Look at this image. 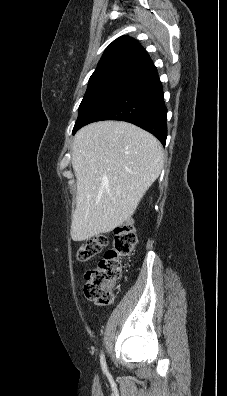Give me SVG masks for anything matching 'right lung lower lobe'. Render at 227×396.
Returning a JSON list of instances; mask_svg holds the SVG:
<instances>
[{"label":"right lung lower lobe","mask_w":227,"mask_h":396,"mask_svg":"<svg viewBox=\"0 0 227 396\" xmlns=\"http://www.w3.org/2000/svg\"><path fill=\"white\" fill-rule=\"evenodd\" d=\"M166 116L162 84L156 67L149 61L94 107L73 133L92 122L120 120L152 133L164 145L167 137Z\"/></svg>","instance_id":"98d812e1"}]
</instances>
